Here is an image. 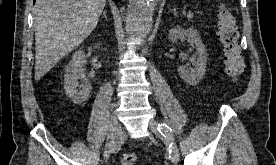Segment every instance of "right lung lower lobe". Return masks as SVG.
I'll use <instances>...</instances> for the list:
<instances>
[{"mask_svg":"<svg viewBox=\"0 0 276 165\" xmlns=\"http://www.w3.org/2000/svg\"><path fill=\"white\" fill-rule=\"evenodd\" d=\"M33 1L35 2V0H33ZM113 1L119 2V1H121V0H113Z\"/></svg>","mask_w":276,"mask_h":165,"instance_id":"right-lung-lower-lobe-1","label":"right lung lower lobe"}]
</instances>
